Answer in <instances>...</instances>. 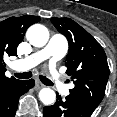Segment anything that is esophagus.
<instances>
[{"label": "esophagus", "instance_id": "esophagus-1", "mask_svg": "<svg viewBox=\"0 0 117 117\" xmlns=\"http://www.w3.org/2000/svg\"><path fill=\"white\" fill-rule=\"evenodd\" d=\"M43 87H44V85L41 82H36V85H35L36 89H41Z\"/></svg>", "mask_w": 117, "mask_h": 117}]
</instances>
